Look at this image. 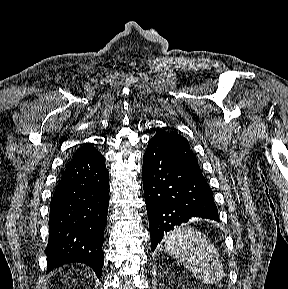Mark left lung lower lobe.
Returning a JSON list of instances; mask_svg holds the SVG:
<instances>
[{
  "label": "left lung lower lobe",
  "instance_id": "left-lung-lower-lobe-1",
  "mask_svg": "<svg viewBox=\"0 0 288 289\" xmlns=\"http://www.w3.org/2000/svg\"><path fill=\"white\" fill-rule=\"evenodd\" d=\"M142 176L152 251L166 232L191 217L219 222L212 190L201 171L177 160L154 139L143 157Z\"/></svg>",
  "mask_w": 288,
  "mask_h": 289
}]
</instances>
